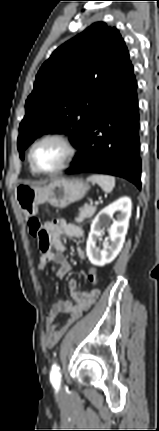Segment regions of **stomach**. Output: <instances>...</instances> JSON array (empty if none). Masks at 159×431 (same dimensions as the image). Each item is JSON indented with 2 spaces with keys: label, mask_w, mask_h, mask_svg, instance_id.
<instances>
[{
  "label": "stomach",
  "mask_w": 159,
  "mask_h": 431,
  "mask_svg": "<svg viewBox=\"0 0 159 431\" xmlns=\"http://www.w3.org/2000/svg\"><path fill=\"white\" fill-rule=\"evenodd\" d=\"M88 190V184L77 179H56L43 187L23 183L16 187L15 199L22 213L30 217L37 214L40 204L65 208L84 198Z\"/></svg>",
  "instance_id": "stomach-1"
}]
</instances>
